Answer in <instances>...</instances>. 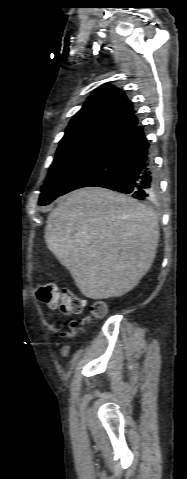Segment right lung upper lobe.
Returning a JSON list of instances; mask_svg holds the SVG:
<instances>
[{
	"instance_id": "right-lung-upper-lobe-1",
	"label": "right lung upper lobe",
	"mask_w": 187,
	"mask_h": 479,
	"mask_svg": "<svg viewBox=\"0 0 187 479\" xmlns=\"http://www.w3.org/2000/svg\"><path fill=\"white\" fill-rule=\"evenodd\" d=\"M137 123L132 104L125 94L114 86L105 85L88 97L66 131L89 126H107L127 133Z\"/></svg>"
}]
</instances>
